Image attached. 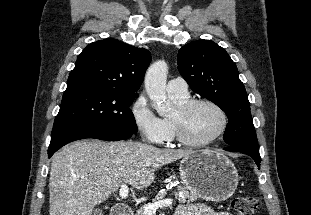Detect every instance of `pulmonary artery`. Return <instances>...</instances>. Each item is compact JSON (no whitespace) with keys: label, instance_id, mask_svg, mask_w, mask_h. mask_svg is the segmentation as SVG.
Wrapping results in <instances>:
<instances>
[{"label":"pulmonary artery","instance_id":"obj_1","mask_svg":"<svg viewBox=\"0 0 311 215\" xmlns=\"http://www.w3.org/2000/svg\"><path fill=\"white\" fill-rule=\"evenodd\" d=\"M167 91L170 94H177V95L189 94L187 82L180 77L172 78L171 80L168 81Z\"/></svg>","mask_w":311,"mask_h":215}]
</instances>
